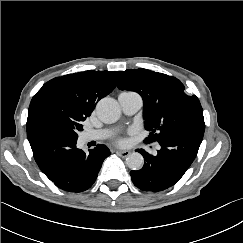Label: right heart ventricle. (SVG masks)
Masks as SVG:
<instances>
[{"label":"right heart ventricle","instance_id":"obj_1","mask_svg":"<svg viewBox=\"0 0 243 243\" xmlns=\"http://www.w3.org/2000/svg\"><path fill=\"white\" fill-rule=\"evenodd\" d=\"M126 93H134V92H126Z\"/></svg>","mask_w":243,"mask_h":243}]
</instances>
